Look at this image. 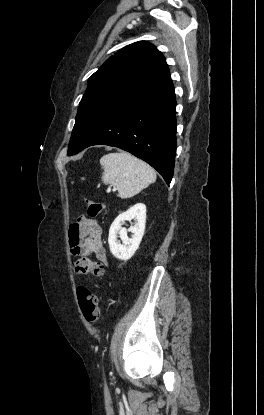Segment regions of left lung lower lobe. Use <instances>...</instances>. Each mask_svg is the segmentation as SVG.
I'll return each mask as SVG.
<instances>
[{"instance_id": "1", "label": "left lung lower lobe", "mask_w": 264, "mask_h": 415, "mask_svg": "<svg viewBox=\"0 0 264 415\" xmlns=\"http://www.w3.org/2000/svg\"><path fill=\"white\" fill-rule=\"evenodd\" d=\"M175 109L168 75L107 111L76 153L93 145L118 147L146 161L170 184L176 154Z\"/></svg>"}]
</instances>
